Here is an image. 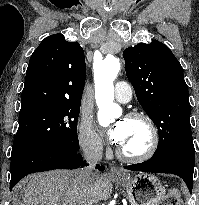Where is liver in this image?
I'll return each instance as SVG.
<instances>
[{
    "mask_svg": "<svg viewBox=\"0 0 199 205\" xmlns=\"http://www.w3.org/2000/svg\"><path fill=\"white\" fill-rule=\"evenodd\" d=\"M111 179L98 175L91 189L80 171L53 170L30 175L19 205H93L112 194Z\"/></svg>",
    "mask_w": 199,
    "mask_h": 205,
    "instance_id": "obj_1",
    "label": "liver"
}]
</instances>
